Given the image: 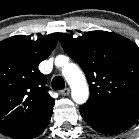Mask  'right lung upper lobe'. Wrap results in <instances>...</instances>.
Wrapping results in <instances>:
<instances>
[{"instance_id": "obj_1", "label": "right lung upper lobe", "mask_w": 139, "mask_h": 139, "mask_svg": "<svg viewBox=\"0 0 139 139\" xmlns=\"http://www.w3.org/2000/svg\"><path fill=\"white\" fill-rule=\"evenodd\" d=\"M58 42L55 34L36 41L17 35L0 42V133H10L34 122L53 108L46 77L38 65Z\"/></svg>"}]
</instances>
